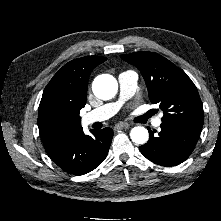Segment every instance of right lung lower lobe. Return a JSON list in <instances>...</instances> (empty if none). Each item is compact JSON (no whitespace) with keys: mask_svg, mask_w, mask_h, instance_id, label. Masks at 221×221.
<instances>
[{"mask_svg":"<svg viewBox=\"0 0 221 221\" xmlns=\"http://www.w3.org/2000/svg\"><path fill=\"white\" fill-rule=\"evenodd\" d=\"M92 135H85L83 130L67 139L48 154L64 171L73 175L86 174L99 166L106 158L113 130H91Z\"/></svg>","mask_w":221,"mask_h":221,"instance_id":"98d812e1","label":"right lung lower lobe"}]
</instances>
